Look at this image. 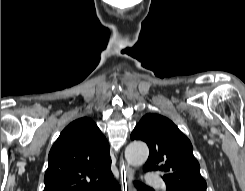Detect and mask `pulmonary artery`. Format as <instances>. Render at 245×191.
I'll return each instance as SVG.
<instances>
[{
  "label": "pulmonary artery",
  "mask_w": 245,
  "mask_h": 191,
  "mask_svg": "<svg viewBox=\"0 0 245 191\" xmlns=\"http://www.w3.org/2000/svg\"><path fill=\"white\" fill-rule=\"evenodd\" d=\"M145 182L146 184L157 188L165 187L163 180L156 173L147 172L145 174Z\"/></svg>",
  "instance_id": "e3ab8cb5"
}]
</instances>
